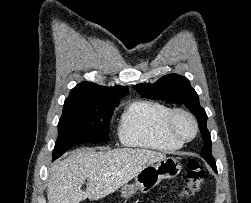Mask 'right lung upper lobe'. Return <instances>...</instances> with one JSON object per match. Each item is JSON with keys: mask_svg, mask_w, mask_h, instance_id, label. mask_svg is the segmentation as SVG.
<instances>
[{"mask_svg": "<svg viewBox=\"0 0 251 203\" xmlns=\"http://www.w3.org/2000/svg\"><path fill=\"white\" fill-rule=\"evenodd\" d=\"M128 93L126 87H104L91 82H82L74 87L64 105L81 103H113L118 102Z\"/></svg>", "mask_w": 251, "mask_h": 203, "instance_id": "1", "label": "right lung upper lobe"}]
</instances>
